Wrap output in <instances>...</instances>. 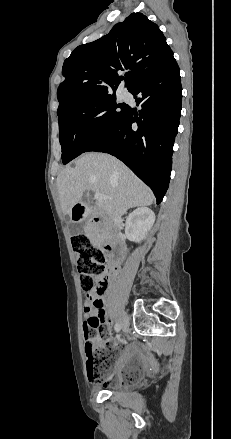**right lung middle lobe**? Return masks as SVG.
Segmentation results:
<instances>
[{
  "label": "right lung middle lobe",
  "instance_id": "obj_1",
  "mask_svg": "<svg viewBox=\"0 0 231 439\" xmlns=\"http://www.w3.org/2000/svg\"><path fill=\"white\" fill-rule=\"evenodd\" d=\"M117 108H121L117 111ZM128 106L117 104L114 96L91 99L58 113L62 161L67 164L111 129Z\"/></svg>",
  "mask_w": 231,
  "mask_h": 439
}]
</instances>
